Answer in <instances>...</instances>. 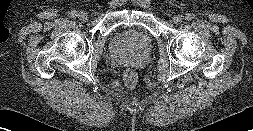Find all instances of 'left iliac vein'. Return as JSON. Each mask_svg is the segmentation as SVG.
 I'll return each mask as SVG.
<instances>
[{
  "instance_id": "4c4485c4",
  "label": "left iliac vein",
  "mask_w": 253,
  "mask_h": 131,
  "mask_svg": "<svg viewBox=\"0 0 253 131\" xmlns=\"http://www.w3.org/2000/svg\"><path fill=\"white\" fill-rule=\"evenodd\" d=\"M183 20H184V16H182V15H177L174 17V22L177 24L181 23Z\"/></svg>"
}]
</instances>
